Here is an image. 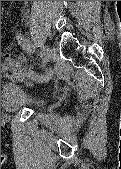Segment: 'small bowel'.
<instances>
[{"mask_svg":"<svg viewBox=\"0 0 121 169\" xmlns=\"http://www.w3.org/2000/svg\"><path fill=\"white\" fill-rule=\"evenodd\" d=\"M32 73L34 72L30 68L24 66V59L22 58H13L6 55L2 59L1 75L4 77L19 80L27 77L30 78Z\"/></svg>","mask_w":121,"mask_h":169,"instance_id":"1","label":"small bowel"}]
</instances>
